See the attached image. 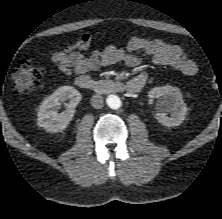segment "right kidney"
<instances>
[{
    "instance_id": "ca27d5eb",
    "label": "right kidney",
    "mask_w": 222,
    "mask_h": 219,
    "mask_svg": "<svg viewBox=\"0 0 222 219\" xmlns=\"http://www.w3.org/2000/svg\"><path fill=\"white\" fill-rule=\"evenodd\" d=\"M80 92L72 86H62L48 96L38 109V126L47 132L64 130L74 117L75 108L81 101ZM69 100L66 110L58 112L61 102Z\"/></svg>"
}]
</instances>
